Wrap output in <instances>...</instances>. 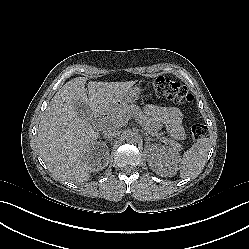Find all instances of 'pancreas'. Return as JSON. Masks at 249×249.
I'll return each mask as SVG.
<instances>
[{"label": "pancreas", "instance_id": "cf45deb5", "mask_svg": "<svg viewBox=\"0 0 249 249\" xmlns=\"http://www.w3.org/2000/svg\"><path fill=\"white\" fill-rule=\"evenodd\" d=\"M118 116H121L122 118H128V117H134L139 118L142 121L143 127L150 131L153 135L158 136L157 134V128L156 123L153 122L151 119L146 117L141 109L137 105H126L124 106L117 114ZM163 141H165L171 149L177 150L180 148V144L174 140H168L166 138H162Z\"/></svg>", "mask_w": 249, "mask_h": 249}]
</instances>
